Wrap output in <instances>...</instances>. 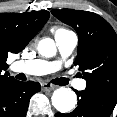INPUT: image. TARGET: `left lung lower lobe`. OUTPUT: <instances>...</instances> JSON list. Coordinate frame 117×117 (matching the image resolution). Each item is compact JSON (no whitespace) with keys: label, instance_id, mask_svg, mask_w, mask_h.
I'll list each match as a JSON object with an SVG mask.
<instances>
[{"label":"left lung lower lobe","instance_id":"obj_1","mask_svg":"<svg viewBox=\"0 0 117 117\" xmlns=\"http://www.w3.org/2000/svg\"><path fill=\"white\" fill-rule=\"evenodd\" d=\"M78 107L71 113H56L55 117H109L117 103V95L97 91L75 90Z\"/></svg>","mask_w":117,"mask_h":117}]
</instances>
